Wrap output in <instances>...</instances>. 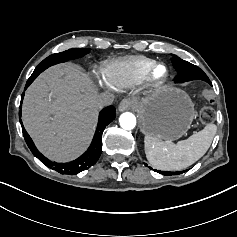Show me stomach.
Wrapping results in <instances>:
<instances>
[{"label": "stomach", "mask_w": 237, "mask_h": 237, "mask_svg": "<svg viewBox=\"0 0 237 237\" xmlns=\"http://www.w3.org/2000/svg\"><path fill=\"white\" fill-rule=\"evenodd\" d=\"M133 99L141 132L158 140L179 139L190 129L196 115L189 95L171 85H163L150 93H138Z\"/></svg>", "instance_id": "1"}]
</instances>
